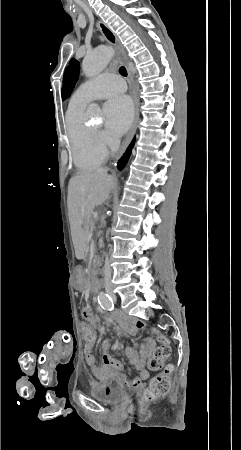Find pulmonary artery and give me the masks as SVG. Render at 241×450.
Returning <instances> with one entry per match:
<instances>
[{
    "label": "pulmonary artery",
    "instance_id": "1",
    "mask_svg": "<svg viewBox=\"0 0 241 450\" xmlns=\"http://www.w3.org/2000/svg\"><path fill=\"white\" fill-rule=\"evenodd\" d=\"M124 84V78H120L119 74L103 73L92 80L86 81L75 92L73 99L86 103L102 99L107 102H114L118 92L125 90Z\"/></svg>",
    "mask_w": 241,
    "mask_h": 450
}]
</instances>
